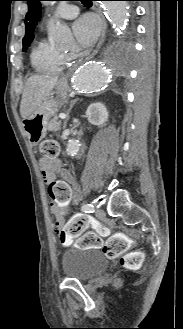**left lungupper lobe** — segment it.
<instances>
[{"label": "left lung upper lobe", "instance_id": "1", "mask_svg": "<svg viewBox=\"0 0 183 329\" xmlns=\"http://www.w3.org/2000/svg\"><path fill=\"white\" fill-rule=\"evenodd\" d=\"M28 3V13L25 16V37L23 38V51L25 52L34 39V30L41 17L42 0H25Z\"/></svg>", "mask_w": 183, "mask_h": 329}]
</instances>
